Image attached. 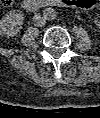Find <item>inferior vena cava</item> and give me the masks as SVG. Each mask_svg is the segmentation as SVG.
<instances>
[{"instance_id": "602c4592", "label": "inferior vena cava", "mask_w": 100, "mask_h": 118, "mask_svg": "<svg viewBox=\"0 0 100 118\" xmlns=\"http://www.w3.org/2000/svg\"><path fill=\"white\" fill-rule=\"evenodd\" d=\"M33 24L36 27H42L46 24V19L41 14H36L33 17Z\"/></svg>"}]
</instances>
